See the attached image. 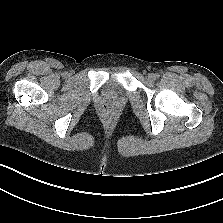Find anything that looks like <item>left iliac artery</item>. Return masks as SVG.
Listing matches in <instances>:
<instances>
[{
    "mask_svg": "<svg viewBox=\"0 0 223 223\" xmlns=\"http://www.w3.org/2000/svg\"><path fill=\"white\" fill-rule=\"evenodd\" d=\"M159 78V74H155V79H158Z\"/></svg>",
    "mask_w": 223,
    "mask_h": 223,
    "instance_id": "obj_1",
    "label": "left iliac artery"
}]
</instances>
